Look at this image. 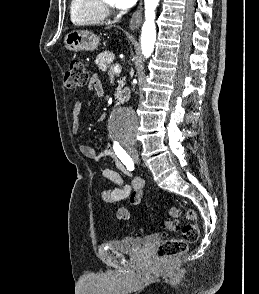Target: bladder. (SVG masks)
Returning a JSON list of instances; mask_svg holds the SVG:
<instances>
[{
    "label": "bladder",
    "mask_w": 259,
    "mask_h": 294,
    "mask_svg": "<svg viewBox=\"0 0 259 294\" xmlns=\"http://www.w3.org/2000/svg\"><path fill=\"white\" fill-rule=\"evenodd\" d=\"M158 239V234H150L139 237H123L121 239L111 240L108 244L122 253H137Z\"/></svg>",
    "instance_id": "31cf9c89"
}]
</instances>
